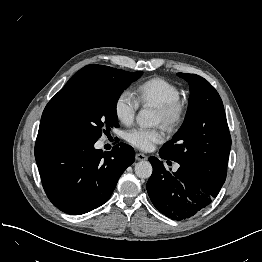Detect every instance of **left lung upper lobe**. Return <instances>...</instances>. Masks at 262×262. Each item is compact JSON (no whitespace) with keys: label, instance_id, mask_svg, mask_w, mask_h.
<instances>
[{"label":"left lung upper lobe","instance_id":"obj_1","mask_svg":"<svg viewBox=\"0 0 262 262\" xmlns=\"http://www.w3.org/2000/svg\"><path fill=\"white\" fill-rule=\"evenodd\" d=\"M190 85L185 121L160 152L206 180L226 175L231 137L223 102L215 88L195 74L178 73Z\"/></svg>","mask_w":262,"mask_h":262}]
</instances>
